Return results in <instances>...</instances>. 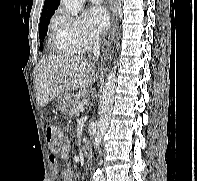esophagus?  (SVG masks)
I'll return each mask as SVG.
<instances>
[{"instance_id": "34e87169", "label": "esophagus", "mask_w": 197, "mask_h": 181, "mask_svg": "<svg viewBox=\"0 0 197 181\" xmlns=\"http://www.w3.org/2000/svg\"><path fill=\"white\" fill-rule=\"evenodd\" d=\"M118 1L119 0H115V7L113 9V23H112V28H111V31L109 33L108 39L106 41L105 52H108L110 50V48L112 46V43H113V40H114L115 35H116Z\"/></svg>"}]
</instances>
